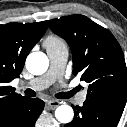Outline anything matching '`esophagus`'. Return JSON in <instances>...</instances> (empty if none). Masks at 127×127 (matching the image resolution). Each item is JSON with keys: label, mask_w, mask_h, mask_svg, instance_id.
Instances as JSON below:
<instances>
[{"label": "esophagus", "mask_w": 127, "mask_h": 127, "mask_svg": "<svg viewBox=\"0 0 127 127\" xmlns=\"http://www.w3.org/2000/svg\"><path fill=\"white\" fill-rule=\"evenodd\" d=\"M60 104V101L58 100H49L47 101V106L49 109L54 110L55 108H57Z\"/></svg>", "instance_id": "34e87169"}]
</instances>
